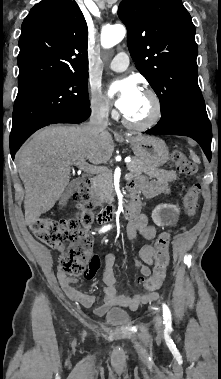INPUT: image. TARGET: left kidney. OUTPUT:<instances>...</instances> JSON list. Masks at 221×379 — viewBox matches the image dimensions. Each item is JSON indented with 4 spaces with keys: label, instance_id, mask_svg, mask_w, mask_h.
Instances as JSON below:
<instances>
[{
    "label": "left kidney",
    "instance_id": "5707ae66",
    "mask_svg": "<svg viewBox=\"0 0 221 379\" xmlns=\"http://www.w3.org/2000/svg\"><path fill=\"white\" fill-rule=\"evenodd\" d=\"M179 217V209L176 205L161 204L152 212V219L156 225H175Z\"/></svg>",
    "mask_w": 221,
    "mask_h": 379
}]
</instances>
